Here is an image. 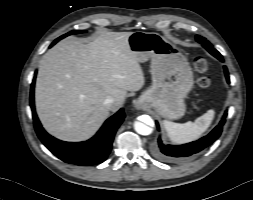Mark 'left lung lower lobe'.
<instances>
[{
	"label": "left lung lower lobe",
	"instance_id": "1",
	"mask_svg": "<svg viewBox=\"0 0 253 200\" xmlns=\"http://www.w3.org/2000/svg\"><path fill=\"white\" fill-rule=\"evenodd\" d=\"M220 61H223V59ZM224 72L227 82L230 83L229 73L226 66H224ZM225 117L226 113L220 123L207 136L191 143L183 145H164L159 138L158 146L155 148V155L165 161H183L195 156L212 144L221 135L222 128L225 123ZM157 127L159 128L158 123Z\"/></svg>",
	"mask_w": 253,
	"mask_h": 200
}]
</instances>
